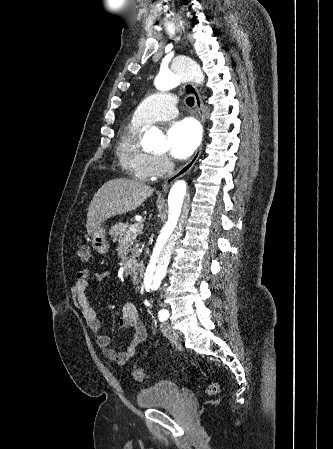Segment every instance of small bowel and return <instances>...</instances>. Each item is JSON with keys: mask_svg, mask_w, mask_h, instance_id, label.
I'll list each match as a JSON object with an SVG mask.
<instances>
[{"mask_svg": "<svg viewBox=\"0 0 333 449\" xmlns=\"http://www.w3.org/2000/svg\"><path fill=\"white\" fill-rule=\"evenodd\" d=\"M107 277L108 274L105 271L95 273L97 282H103ZM90 279V271L87 268L77 272L76 278L71 286L72 299L75 306L81 311L88 329L95 336L96 344L102 350L103 354L118 365H124L134 356L136 347L146 339V327L142 322L135 305L131 302L125 303L122 306V314L118 327L122 331L132 329L133 336L124 350H115L110 344V338L101 332V324L98 315L87 299L86 289Z\"/></svg>", "mask_w": 333, "mask_h": 449, "instance_id": "small-bowel-1", "label": "small bowel"}]
</instances>
